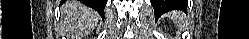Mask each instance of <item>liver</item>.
I'll list each match as a JSON object with an SVG mask.
<instances>
[{
	"label": "liver",
	"instance_id": "6515ba94",
	"mask_svg": "<svg viewBox=\"0 0 249 39\" xmlns=\"http://www.w3.org/2000/svg\"><path fill=\"white\" fill-rule=\"evenodd\" d=\"M74 13L78 20V27L83 29H91L98 20V15L95 11L87 6L76 1L74 6Z\"/></svg>",
	"mask_w": 249,
	"mask_h": 39
}]
</instances>
